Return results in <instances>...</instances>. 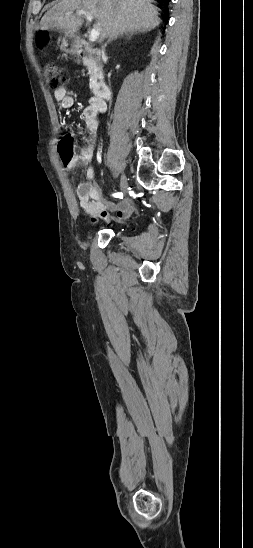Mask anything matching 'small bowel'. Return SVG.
Here are the masks:
<instances>
[{"mask_svg":"<svg viewBox=\"0 0 253 548\" xmlns=\"http://www.w3.org/2000/svg\"><path fill=\"white\" fill-rule=\"evenodd\" d=\"M54 97L63 109H69L74 105V98L68 94L65 88L56 90ZM105 110L106 103L104 100L98 97L90 99V105L83 114L87 129V140L75 159L68 162L63 160L66 169L71 170L76 166L87 165L91 160L98 135L100 115ZM85 173L87 180L79 184L76 189L80 207L84 213L101 217L107 222L112 221L107 210L115 211L118 220L125 219L133 213L135 204L132 201L125 200L112 204L103 196L102 190L95 181L96 172L92 166H87Z\"/></svg>","mask_w":253,"mask_h":548,"instance_id":"obj_1","label":"small bowel"}]
</instances>
